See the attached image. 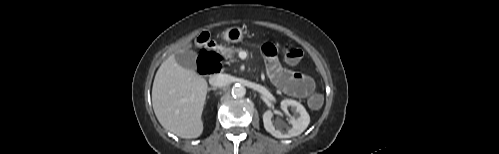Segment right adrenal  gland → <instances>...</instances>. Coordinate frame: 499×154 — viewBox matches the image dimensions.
<instances>
[{
	"label": "right adrenal gland",
	"mask_w": 499,
	"mask_h": 154,
	"mask_svg": "<svg viewBox=\"0 0 499 154\" xmlns=\"http://www.w3.org/2000/svg\"><path fill=\"white\" fill-rule=\"evenodd\" d=\"M211 90H217V88L216 87L208 88V92L211 91Z\"/></svg>",
	"instance_id": "right-adrenal-gland-1"
}]
</instances>
